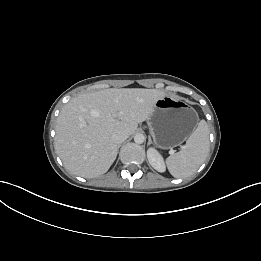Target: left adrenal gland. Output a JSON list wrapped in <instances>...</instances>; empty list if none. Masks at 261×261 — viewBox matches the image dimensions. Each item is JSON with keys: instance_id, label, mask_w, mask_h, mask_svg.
<instances>
[{"instance_id": "1", "label": "left adrenal gland", "mask_w": 261, "mask_h": 261, "mask_svg": "<svg viewBox=\"0 0 261 261\" xmlns=\"http://www.w3.org/2000/svg\"><path fill=\"white\" fill-rule=\"evenodd\" d=\"M152 143L151 138L149 137L148 145Z\"/></svg>"}]
</instances>
